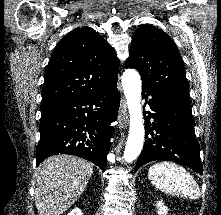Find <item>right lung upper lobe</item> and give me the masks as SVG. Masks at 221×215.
Listing matches in <instances>:
<instances>
[{"label":"right lung upper lobe","mask_w":221,"mask_h":215,"mask_svg":"<svg viewBox=\"0 0 221 215\" xmlns=\"http://www.w3.org/2000/svg\"><path fill=\"white\" fill-rule=\"evenodd\" d=\"M115 50L90 27L68 33L58 43L45 73L41 111L61 106L117 80Z\"/></svg>","instance_id":"cb5924a9"}]
</instances>
